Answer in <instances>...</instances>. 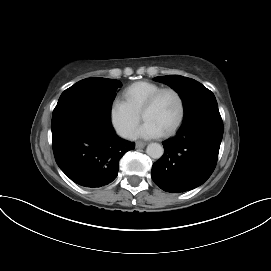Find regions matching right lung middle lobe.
<instances>
[{"instance_id": "obj_1", "label": "right lung middle lobe", "mask_w": 271, "mask_h": 271, "mask_svg": "<svg viewBox=\"0 0 271 271\" xmlns=\"http://www.w3.org/2000/svg\"><path fill=\"white\" fill-rule=\"evenodd\" d=\"M121 86L118 80L98 77L77 82L61 94L53 111L51 125L91 112H103L111 117L112 102Z\"/></svg>"}]
</instances>
